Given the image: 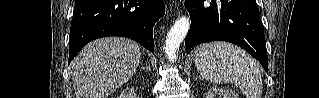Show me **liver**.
<instances>
[{
  "mask_svg": "<svg viewBox=\"0 0 319 98\" xmlns=\"http://www.w3.org/2000/svg\"><path fill=\"white\" fill-rule=\"evenodd\" d=\"M140 58V46L126 38L87 44L71 64L76 98H107L133 76Z\"/></svg>",
  "mask_w": 319,
  "mask_h": 98,
  "instance_id": "obj_1",
  "label": "liver"
}]
</instances>
